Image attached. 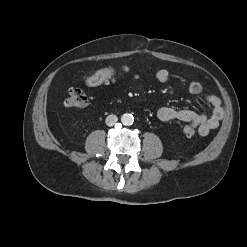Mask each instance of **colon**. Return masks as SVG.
Returning a JSON list of instances; mask_svg holds the SVG:
<instances>
[{"instance_id":"colon-1","label":"colon","mask_w":247,"mask_h":247,"mask_svg":"<svg viewBox=\"0 0 247 247\" xmlns=\"http://www.w3.org/2000/svg\"><path fill=\"white\" fill-rule=\"evenodd\" d=\"M122 72H128V68H123ZM116 73L117 70L111 67L96 70L87 76L85 85L87 87H98L110 82ZM88 102V95L83 88H73L69 91L64 103L69 108H80L87 105ZM183 131L186 135L192 136L196 133L197 126L195 124L186 125Z\"/></svg>"}]
</instances>
